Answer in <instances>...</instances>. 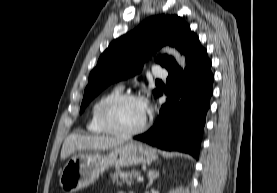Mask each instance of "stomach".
Wrapping results in <instances>:
<instances>
[{
    "label": "stomach",
    "mask_w": 277,
    "mask_h": 193,
    "mask_svg": "<svg viewBox=\"0 0 277 193\" xmlns=\"http://www.w3.org/2000/svg\"><path fill=\"white\" fill-rule=\"evenodd\" d=\"M157 158L153 148L134 141L125 142L109 150L76 152L60 171V186L65 193H75L89 186L109 167H129L151 164Z\"/></svg>",
    "instance_id": "obj_1"
}]
</instances>
